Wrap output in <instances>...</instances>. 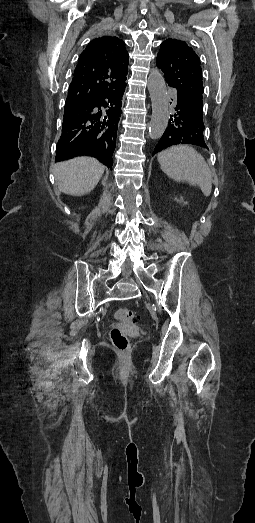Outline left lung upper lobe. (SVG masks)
Instances as JSON below:
<instances>
[{
	"instance_id": "1",
	"label": "left lung upper lobe",
	"mask_w": 255,
	"mask_h": 523,
	"mask_svg": "<svg viewBox=\"0 0 255 523\" xmlns=\"http://www.w3.org/2000/svg\"><path fill=\"white\" fill-rule=\"evenodd\" d=\"M157 66L163 71L169 86L177 89L179 99L186 106L192 107L193 115H196V118H205L200 59L192 48L184 41L167 39L160 46Z\"/></svg>"
}]
</instances>
